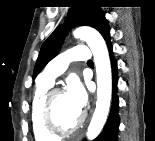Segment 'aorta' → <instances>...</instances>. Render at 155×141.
<instances>
[{"instance_id":"obj_1","label":"aorta","mask_w":155,"mask_h":141,"mask_svg":"<svg viewBox=\"0 0 155 141\" xmlns=\"http://www.w3.org/2000/svg\"><path fill=\"white\" fill-rule=\"evenodd\" d=\"M74 37L86 41L95 61L97 73L96 108L87 130V139H95L102 131L110 109L112 95V74L109 53L103 37L91 27H79Z\"/></svg>"}]
</instances>
